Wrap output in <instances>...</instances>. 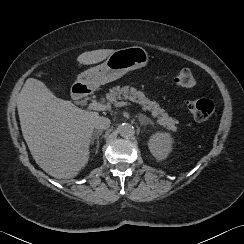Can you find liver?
Listing matches in <instances>:
<instances>
[{"instance_id": "1", "label": "liver", "mask_w": 244, "mask_h": 244, "mask_svg": "<svg viewBox=\"0 0 244 244\" xmlns=\"http://www.w3.org/2000/svg\"><path fill=\"white\" fill-rule=\"evenodd\" d=\"M114 50L80 54L77 61L90 65L103 61ZM17 109L23 137L33 159L57 179H70L86 166L97 112L76 107L56 97L42 82L29 78L18 97Z\"/></svg>"}]
</instances>
